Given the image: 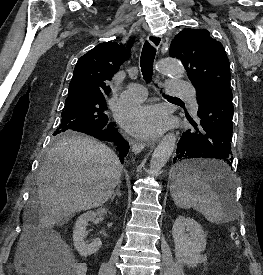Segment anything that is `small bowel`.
Wrapping results in <instances>:
<instances>
[{"label": "small bowel", "instance_id": "small-bowel-1", "mask_svg": "<svg viewBox=\"0 0 263 275\" xmlns=\"http://www.w3.org/2000/svg\"><path fill=\"white\" fill-rule=\"evenodd\" d=\"M29 269L35 273V275H43L44 273V269L42 268V266L35 264V265H31L29 267Z\"/></svg>", "mask_w": 263, "mask_h": 275}]
</instances>
